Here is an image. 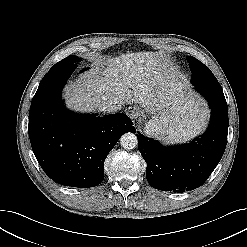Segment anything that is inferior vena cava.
I'll list each match as a JSON object with an SVG mask.
<instances>
[{
  "label": "inferior vena cava",
  "instance_id": "1",
  "mask_svg": "<svg viewBox=\"0 0 247 247\" xmlns=\"http://www.w3.org/2000/svg\"><path fill=\"white\" fill-rule=\"evenodd\" d=\"M121 104V101H119L117 98H112L106 102H102L100 104V109L105 113L111 114L120 110Z\"/></svg>",
  "mask_w": 247,
  "mask_h": 247
}]
</instances>
